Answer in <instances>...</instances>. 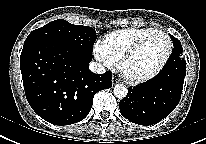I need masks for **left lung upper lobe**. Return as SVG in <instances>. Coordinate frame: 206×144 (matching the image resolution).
<instances>
[{"label": "left lung upper lobe", "instance_id": "1", "mask_svg": "<svg viewBox=\"0 0 206 144\" xmlns=\"http://www.w3.org/2000/svg\"><path fill=\"white\" fill-rule=\"evenodd\" d=\"M170 37H171V39L173 41V45H174L172 54L174 53V54H178V55L182 56L183 49H182V45H181L180 41L172 35H170Z\"/></svg>", "mask_w": 206, "mask_h": 144}]
</instances>
